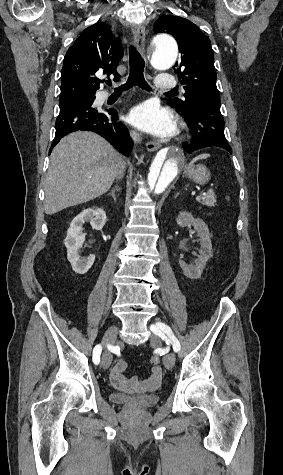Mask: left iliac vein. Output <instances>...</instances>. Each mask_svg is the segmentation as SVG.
I'll return each mask as SVG.
<instances>
[{
  "instance_id": "1",
  "label": "left iliac vein",
  "mask_w": 283,
  "mask_h": 475,
  "mask_svg": "<svg viewBox=\"0 0 283 475\" xmlns=\"http://www.w3.org/2000/svg\"><path fill=\"white\" fill-rule=\"evenodd\" d=\"M156 327V324H154ZM160 331V330H159ZM161 335L164 336V334L160 331ZM151 343L155 346H160V338L159 336L156 335H151ZM163 364L167 369H172L175 365V355L174 353L167 354L163 357Z\"/></svg>"
}]
</instances>
